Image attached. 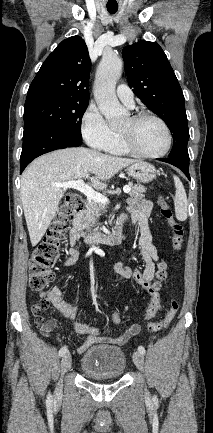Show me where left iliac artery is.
Returning <instances> with one entry per match:
<instances>
[{"mask_svg":"<svg viewBox=\"0 0 213 433\" xmlns=\"http://www.w3.org/2000/svg\"><path fill=\"white\" fill-rule=\"evenodd\" d=\"M138 351L142 354H145V348L143 346H139Z\"/></svg>","mask_w":213,"mask_h":433,"instance_id":"left-iliac-artery-1","label":"left iliac artery"}]
</instances>
